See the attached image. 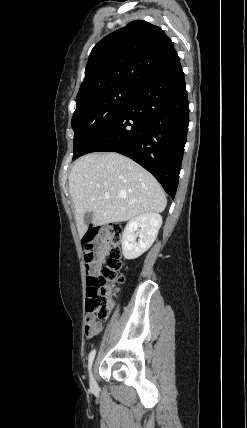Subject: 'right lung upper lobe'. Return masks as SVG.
<instances>
[{"mask_svg":"<svg viewBox=\"0 0 247 428\" xmlns=\"http://www.w3.org/2000/svg\"><path fill=\"white\" fill-rule=\"evenodd\" d=\"M178 60L173 42L160 27L133 21L94 46L77 96L114 86L140 90Z\"/></svg>","mask_w":247,"mask_h":428,"instance_id":"cb5924a9","label":"right lung upper lobe"}]
</instances>
